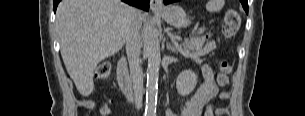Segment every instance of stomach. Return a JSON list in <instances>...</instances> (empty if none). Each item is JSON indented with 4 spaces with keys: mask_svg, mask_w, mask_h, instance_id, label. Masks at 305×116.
Segmentation results:
<instances>
[{
    "mask_svg": "<svg viewBox=\"0 0 305 116\" xmlns=\"http://www.w3.org/2000/svg\"><path fill=\"white\" fill-rule=\"evenodd\" d=\"M170 25L181 28L189 24L190 20L184 9L178 5H170L156 11Z\"/></svg>",
    "mask_w": 305,
    "mask_h": 116,
    "instance_id": "obj_1",
    "label": "stomach"
}]
</instances>
